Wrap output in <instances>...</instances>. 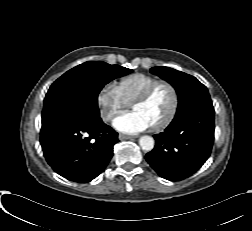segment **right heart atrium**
Returning <instances> with one entry per match:
<instances>
[{
  "label": "right heart atrium",
  "instance_id": "right-heart-atrium-1",
  "mask_svg": "<svg viewBox=\"0 0 252 231\" xmlns=\"http://www.w3.org/2000/svg\"><path fill=\"white\" fill-rule=\"evenodd\" d=\"M96 101L100 117L105 122H109L129 107V104L122 98L117 86L113 83H107L100 89Z\"/></svg>",
  "mask_w": 252,
  "mask_h": 231
}]
</instances>
